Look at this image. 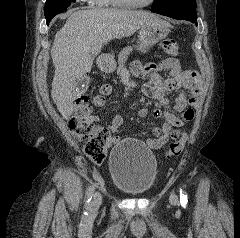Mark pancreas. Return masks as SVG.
<instances>
[{
  "instance_id": "pancreas-1",
  "label": "pancreas",
  "mask_w": 240,
  "mask_h": 238,
  "mask_svg": "<svg viewBox=\"0 0 240 238\" xmlns=\"http://www.w3.org/2000/svg\"><path fill=\"white\" fill-rule=\"evenodd\" d=\"M132 50H133V48L128 46V47L124 48L123 50H121V52L119 53V55H118L119 66L117 68L118 74H120L122 72V70L124 69V64Z\"/></svg>"
}]
</instances>
